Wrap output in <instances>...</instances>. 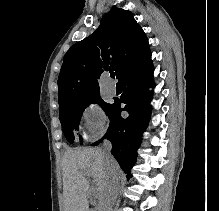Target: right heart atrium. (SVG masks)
Wrapping results in <instances>:
<instances>
[{
	"instance_id": "d8ad5b80",
	"label": "right heart atrium",
	"mask_w": 219,
	"mask_h": 211,
	"mask_svg": "<svg viewBox=\"0 0 219 211\" xmlns=\"http://www.w3.org/2000/svg\"><path fill=\"white\" fill-rule=\"evenodd\" d=\"M81 119L86 129V139L96 140L106 130L108 117L103 107L97 102L89 103L81 113Z\"/></svg>"
}]
</instances>
